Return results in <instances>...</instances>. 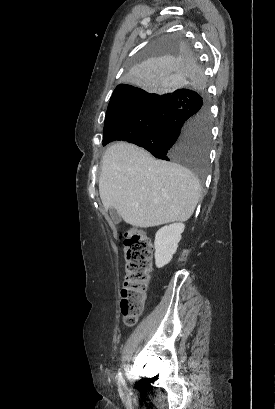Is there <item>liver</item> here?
<instances>
[{
    "label": "liver",
    "instance_id": "obj_1",
    "mask_svg": "<svg viewBox=\"0 0 275 409\" xmlns=\"http://www.w3.org/2000/svg\"><path fill=\"white\" fill-rule=\"evenodd\" d=\"M200 192V182L189 168L157 160L136 144L114 142L103 156L102 205L105 211L115 209L133 227L188 221Z\"/></svg>",
    "mask_w": 275,
    "mask_h": 409
}]
</instances>
